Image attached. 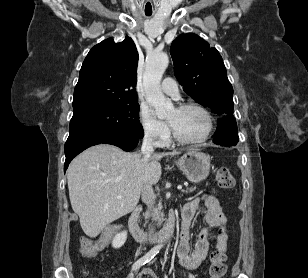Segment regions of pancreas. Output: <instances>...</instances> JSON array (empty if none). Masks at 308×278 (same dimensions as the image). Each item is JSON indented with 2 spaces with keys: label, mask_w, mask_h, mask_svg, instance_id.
Returning a JSON list of instances; mask_svg holds the SVG:
<instances>
[{
  "label": "pancreas",
  "mask_w": 308,
  "mask_h": 278,
  "mask_svg": "<svg viewBox=\"0 0 308 278\" xmlns=\"http://www.w3.org/2000/svg\"><path fill=\"white\" fill-rule=\"evenodd\" d=\"M196 188H190V189H187V190H183L182 192L184 193H188V192H193ZM161 209H162V205L159 204L158 207L154 210V213L152 214V216L154 217L155 220L161 222L163 220V215L161 213ZM150 215L147 214L146 215V219L149 217Z\"/></svg>",
  "instance_id": "pancreas-1"
}]
</instances>
